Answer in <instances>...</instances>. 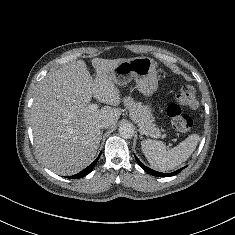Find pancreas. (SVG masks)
<instances>
[{"label": "pancreas", "mask_w": 235, "mask_h": 235, "mask_svg": "<svg viewBox=\"0 0 235 235\" xmlns=\"http://www.w3.org/2000/svg\"><path fill=\"white\" fill-rule=\"evenodd\" d=\"M124 105L129 109L130 118L145 133L157 134L160 129L153 123L154 118L148 108L140 102H135L132 98H124Z\"/></svg>", "instance_id": "cf45deb5"}]
</instances>
